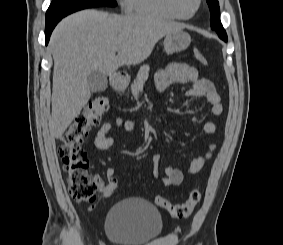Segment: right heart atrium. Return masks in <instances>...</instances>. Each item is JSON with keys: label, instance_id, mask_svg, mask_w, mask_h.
<instances>
[{"label": "right heart atrium", "instance_id": "1", "mask_svg": "<svg viewBox=\"0 0 283 245\" xmlns=\"http://www.w3.org/2000/svg\"><path fill=\"white\" fill-rule=\"evenodd\" d=\"M124 1H125V0H119V2H120L121 4H124Z\"/></svg>", "mask_w": 283, "mask_h": 245}]
</instances>
